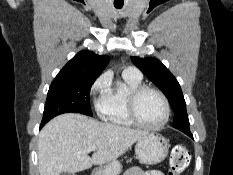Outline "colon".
<instances>
[{
    "instance_id": "colon-1",
    "label": "colon",
    "mask_w": 233,
    "mask_h": 175,
    "mask_svg": "<svg viewBox=\"0 0 233 175\" xmlns=\"http://www.w3.org/2000/svg\"><path fill=\"white\" fill-rule=\"evenodd\" d=\"M190 160L191 153L186 145H174L170 152L168 175H180L187 168Z\"/></svg>"
}]
</instances>
